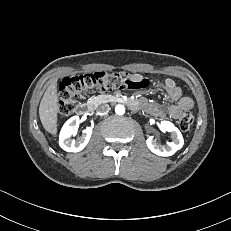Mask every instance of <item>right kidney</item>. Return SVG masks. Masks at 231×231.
<instances>
[{"instance_id":"ca27d5eb","label":"right kidney","mask_w":231,"mask_h":231,"mask_svg":"<svg viewBox=\"0 0 231 231\" xmlns=\"http://www.w3.org/2000/svg\"><path fill=\"white\" fill-rule=\"evenodd\" d=\"M79 123V116H73L63 125L59 136V145L63 150L67 152H79L88 144L92 135L91 127L83 130L82 136L77 141L72 139V135L76 132Z\"/></svg>"}]
</instances>
